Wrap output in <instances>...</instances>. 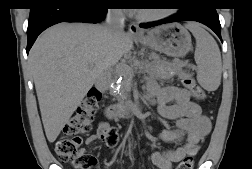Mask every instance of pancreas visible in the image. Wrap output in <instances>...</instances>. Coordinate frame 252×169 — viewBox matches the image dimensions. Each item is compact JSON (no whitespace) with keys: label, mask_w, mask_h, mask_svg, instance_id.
Masks as SVG:
<instances>
[{"label":"pancreas","mask_w":252,"mask_h":169,"mask_svg":"<svg viewBox=\"0 0 252 169\" xmlns=\"http://www.w3.org/2000/svg\"><path fill=\"white\" fill-rule=\"evenodd\" d=\"M186 66V63L179 60H174L172 62L161 60L159 56L152 55L149 60L144 61L137 67H133L135 69H139L140 71H145L151 75H155L156 77L160 79H171L173 76L179 74V72L182 70L183 67ZM120 74L117 70L114 74ZM130 76L127 75L125 80L123 81V85L126 83L127 79ZM112 78V77H111ZM110 78V81H111ZM121 94L123 95V98H120V103H124L125 99L127 97V93L122 90Z\"/></svg>","instance_id":"obj_1"}]
</instances>
